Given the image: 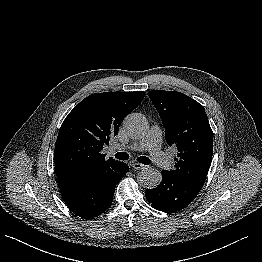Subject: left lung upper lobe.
<instances>
[{
  "instance_id": "1",
  "label": "left lung upper lobe",
  "mask_w": 262,
  "mask_h": 262,
  "mask_svg": "<svg viewBox=\"0 0 262 262\" xmlns=\"http://www.w3.org/2000/svg\"><path fill=\"white\" fill-rule=\"evenodd\" d=\"M148 95L165 127L166 142L177 151L170 175L203 186L212 161L213 132L201 104L175 91L154 90Z\"/></svg>"
}]
</instances>
